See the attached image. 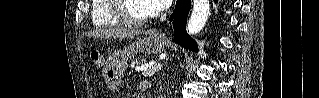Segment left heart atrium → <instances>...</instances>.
<instances>
[{
	"label": "left heart atrium",
	"mask_w": 319,
	"mask_h": 98,
	"mask_svg": "<svg viewBox=\"0 0 319 98\" xmlns=\"http://www.w3.org/2000/svg\"><path fill=\"white\" fill-rule=\"evenodd\" d=\"M146 2L148 3L150 12L158 14L166 10L172 3V0H146Z\"/></svg>",
	"instance_id": "obj_1"
}]
</instances>
